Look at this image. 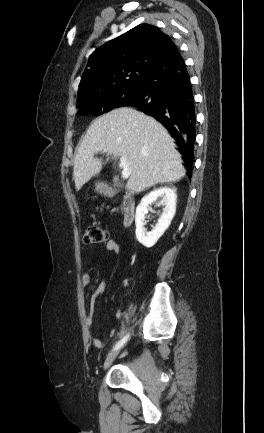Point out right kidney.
<instances>
[{
  "mask_svg": "<svg viewBox=\"0 0 264 433\" xmlns=\"http://www.w3.org/2000/svg\"><path fill=\"white\" fill-rule=\"evenodd\" d=\"M158 198H162L165 205L163 212L158 219L157 224L151 231H147L144 225L146 224V214L148 213V207L150 204L155 202ZM176 199L177 195L175 189L169 187H162L156 189L146 196H144L137 206L135 215L136 224V238L147 248H150L156 244L158 239L167 230L176 212Z\"/></svg>",
  "mask_w": 264,
  "mask_h": 433,
  "instance_id": "obj_1",
  "label": "right kidney"
}]
</instances>
